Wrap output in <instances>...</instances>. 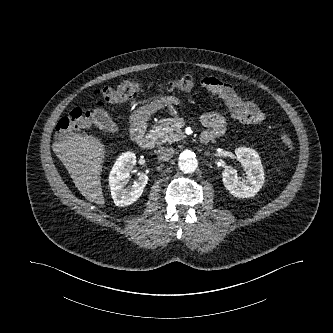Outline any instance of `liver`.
<instances>
[{"label":"liver","instance_id":"liver-1","mask_svg":"<svg viewBox=\"0 0 333 333\" xmlns=\"http://www.w3.org/2000/svg\"><path fill=\"white\" fill-rule=\"evenodd\" d=\"M69 135L62 142L55 143L58 158L68 170L80 193L89 201L104 207L105 200L101 186V170L104 145L93 135Z\"/></svg>","mask_w":333,"mask_h":333}]
</instances>
